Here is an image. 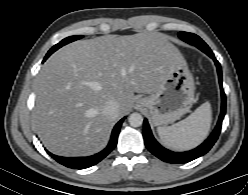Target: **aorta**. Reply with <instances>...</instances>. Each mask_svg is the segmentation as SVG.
I'll return each mask as SVG.
<instances>
[{
  "label": "aorta",
  "instance_id": "1",
  "mask_svg": "<svg viewBox=\"0 0 248 195\" xmlns=\"http://www.w3.org/2000/svg\"><path fill=\"white\" fill-rule=\"evenodd\" d=\"M128 121L132 127H139L143 124V117L141 114L135 112L129 116Z\"/></svg>",
  "mask_w": 248,
  "mask_h": 195
}]
</instances>
